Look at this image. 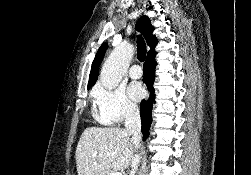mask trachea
Masks as SVG:
<instances>
[{
	"instance_id": "1",
	"label": "trachea",
	"mask_w": 251,
	"mask_h": 175,
	"mask_svg": "<svg viewBox=\"0 0 251 175\" xmlns=\"http://www.w3.org/2000/svg\"><path fill=\"white\" fill-rule=\"evenodd\" d=\"M137 56L140 62H144L146 58V44L141 35L137 38Z\"/></svg>"
}]
</instances>
